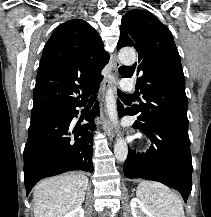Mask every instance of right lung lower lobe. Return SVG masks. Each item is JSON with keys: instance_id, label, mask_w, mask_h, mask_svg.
Returning a JSON list of instances; mask_svg holds the SVG:
<instances>
[{"instance_id": "right-lung-lower-lobe-1", "label": "right lung lower lobe", "mask_w": 211, "mask_h": 217, "mask_svg": "<svg viewBox=\"0 0 211 217\" xmlns=\"http://www.w3.org/2000/svg\"><path fill=\"white\" fill-rule=\"evenodd\" d=\"M95 91V90H94ZM85 97L57 112L31 118L28 140L24 149V182L27 195L41 179L72 170L93 172L92 118L93 109L85 118L89 123L71 124L86 104Z\"/></svg>"}]
</instances>
